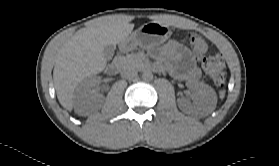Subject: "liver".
Instances as JSON below:
<instances>
[{
	"instance_id": "1",
	"label": "liver",
	"mask_w": 279,
	"mask_h": 166,
	"mask_svg": "<svg viewBox=\"0 0 279 166\" xmlns=\"http://www.w3.org/2000/svg\"><path fill=\"white\" fill-rule=\"evenodd\" d=\"M133 28L134 24L129 23L126 16H105L96 19L89 27L78 30L59 49L53 80L57 98L65 109L72 110L77 85L105 69L104 47L119 44Z\"/></svg>"
}]
</instances>
